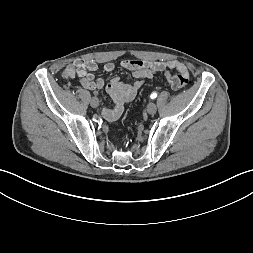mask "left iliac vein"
Instances as JSON below:
<instances>
[{"label":"left iliac vein","instance_id":"1","mask_svg":"<svg viewBox=\"0 0 253 253\" xmlns=\"http://www.w3.org/2000/svg\"><path fill=\"white\" fill-rule=\"evenodd\" d=\"M147 112L149 113V114H155L156 113V111H157V106H156V104L155 103H153V102H150L148 105H147Z\"/></svg>","mask_w":253,"mask_h":253}]
</instances>
